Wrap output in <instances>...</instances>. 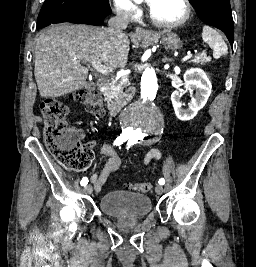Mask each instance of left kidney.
Masks as SVG:
<instances>
[{
    "mask_svg": "<svg viewBox=\"0 0 256 267\" xmlns=\"http://www.w3.org/2000/svg\"><path fill=\"white\" fill-rule=\"evenodd\" d=\"M185 90H188L191 96V102L188 104L189 110H182L181 102V90H175L171 94V102L173 104L174 112L178 120H193L195 118L198 110L204 108L212 90V84L207 78L205 72L201 68H191V70H186L184 74ZM195 92V96H193Z\"/></svg>",
    "mask_w": 256,
    "mask_h": 267,
    "instance_id": "1",
    "label": "left kidney"
}]
</instances>
